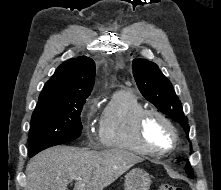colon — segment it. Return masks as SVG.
<instances>
[{
  "instance_id": "1",
  "label": "colon",
  "mask_w": 221,
  "mask_h": 190,
  "mask_svg": "<svg viewBox=\"0 0 221 190\" xmlns=\"http://www.w3.org/2000/svg\"><path fill=\"white\" fill-rule=\"evenodd\" d=\"M159 190H182V189L172 184H161Z\"/></svg>"
}]
</instances>
